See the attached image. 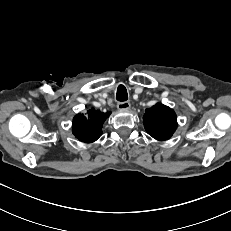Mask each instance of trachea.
Listing matches in <instances>:
<instances>
[{
    "label": "trachea",
    "instance_id": "1",
    "mask_svg": "<svg viewBox=\"0 0 231 231\" xmlns=\"http://www.w3.org/2000/svg\"><path fill=\"white\" fill-rule=\"evenodd\" d=\"M116 99L120 102H124L128 99L127 90L124 85H119L117 88Z\"/></svg>",
    "mask_w": 231,
    "mask_h": 231
}]
</instances>
